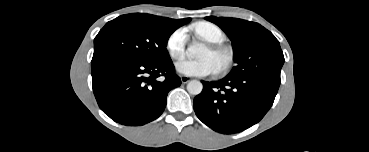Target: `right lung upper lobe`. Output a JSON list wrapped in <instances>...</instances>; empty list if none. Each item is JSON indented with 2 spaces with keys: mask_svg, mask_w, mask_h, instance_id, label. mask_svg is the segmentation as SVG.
Wrapping results in <instances>:
<instances>
[{
  "mask_svg": "<svg viewBox=\"0 0 369 152\" xmlns=\"http://www.w3.org/2000/svg\"><path fill=\"white\" fill-rule=\"evenodd\" d=\"M142 16L148 18V19H152V20H157L166 24H169L173 27L179 28L180 26L187 24L188 22L191 21V18H184V19H179V20H174V19H170L167 17H159V16H154V15H150V14H144V13H139Z\"/></svg>",
  "mask_w": 369,
  "mask_h": 152,
  "instance_id": "1",
  "label": "right lung upper lobe"
}]
</instances>
